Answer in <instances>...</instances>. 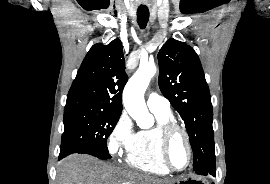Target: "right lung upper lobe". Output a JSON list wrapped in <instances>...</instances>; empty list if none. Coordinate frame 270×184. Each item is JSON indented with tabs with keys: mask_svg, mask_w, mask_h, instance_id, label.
<instances>
[{
	"mask_svg": "<svg viewBox=\"0 0 270 184\" xmlns=\"http://www.w3.org/2000/svg\"><path fill=\"white\" fill-rule=\"evenodd\" d=\"M119 39L97 43L84 58L67 101H86L115 113L122 112V91L128 80Z\"/></svg>",
	"mask_w": 270,
	"mask_h": 184,
	"instance_id": "cb5924a9",
	"label": "right lung upper lobe"
}]
</instances>
